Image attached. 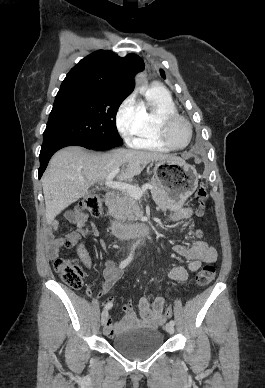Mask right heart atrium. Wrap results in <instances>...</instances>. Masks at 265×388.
Instances as JSON below:
<instances>
[{
  "instance_id": "d8ad5b80",
  "label": "right heart atrium",
  "mask_w": 265,
  "mask_h": 388,
  "mask_svg": "<svg viewBox=\"0 0 265 388\" xmlns=\"http://www.w3.org/2000/svg\"><path fill=\"white\" fill-rule=\"evenodd\" d=\"M117 121L122 136L127 140L138 130L141 121V106L134 95L129 96L121 105Z\"/></svg>"
}]
</instances>
